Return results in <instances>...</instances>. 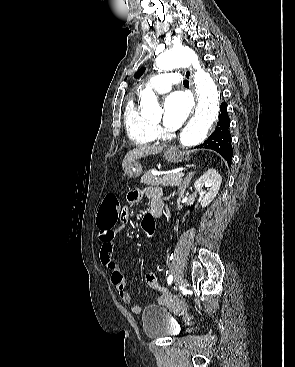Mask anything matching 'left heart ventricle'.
<instances>
[{"label":"left heart ventricle","mask_w":295,"mask_h":367,"mask_svg":"<svg viewBox=\"0 0 295 367\" xmlns=\"http://www.w3.org/2000/svg\"><path fill=\"white\" fill-rule=\"evenodd\" d=\"M159 121H160V117L156 118V119L154 120V123H158Z\"/></svg>","instance_id":"obj_1"}]
</instances>
